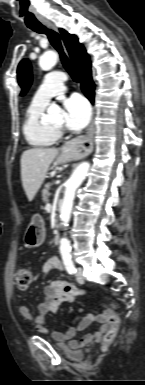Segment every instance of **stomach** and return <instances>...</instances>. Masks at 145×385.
<instances>
[{"mask_svg":"<svg viewBox=\"0 0 145 385\" xmlns=\"http://www.w3.org/2000/svg\"><path fill=\"white\" fill-rule=\"evenodd\" d=\"M72 158L73 155L69 151L63 150L54 162V166L64 164L70 161ZM44 240L45 227L43 220L40 217L34 216L24 234L25 244L29 248H35L39 247L44 242Z\"/></svg>","mask_w":145,"mask_h":385,"instance_id":"1","label":"stomach"}]
</instances>
